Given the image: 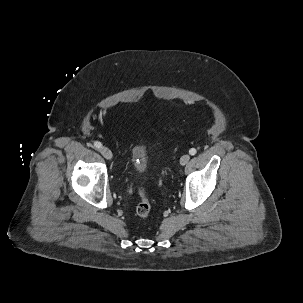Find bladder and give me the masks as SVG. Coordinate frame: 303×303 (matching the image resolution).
<instances>
[{
	"label": "bladder",
	"instance_id": "31cf9c89",
	"mask_svg": "<svg viewBox=\"0 0 303 303\" xmlns=\"http://www.w3.org/2000/svg\"><path fill=\"white\" fill-rule=\"evenodd\" d=\"M131 161L136 172L145 170L148 164V150L143 144H137L132 148Z\"/></svg>",
	"mask_w": 303,
	"mask_h": 303
}]
</instances>
